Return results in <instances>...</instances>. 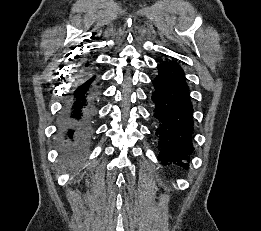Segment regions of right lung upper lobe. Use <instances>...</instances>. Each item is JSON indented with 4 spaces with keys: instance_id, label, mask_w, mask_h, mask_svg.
I'll list each match as a JSON object with an SVG mask.
<instances>
[{
    "instance_id": "obj_1",
    "label": "right lung upper lobe",
    "mask_w": 261,
    "mask_h": 231,
    "mask_svg": "<svg viewBox=\"0 0 261 231\" xmlns=\"http://www.w3.org/2000/svg\"><path fill=\"white\" fill-rule=\"evenodd\" d=\"M90 68V63L87 62L85 65L82 66L81 71L85 72L88 71Z\"/></svg>"
}]
</instances>
